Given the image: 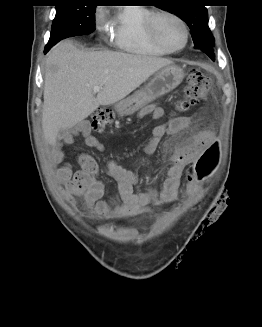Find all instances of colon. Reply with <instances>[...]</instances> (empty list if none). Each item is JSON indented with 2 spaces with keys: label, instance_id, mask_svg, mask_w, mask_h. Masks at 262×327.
<instances>
[{
  "label": "colon",
  "instance_id": "1",
  "mask_svg": "<svg viewBox=\"0 0 262 327\" xmlns=\"http://www.w3.org/2000/svg\"><path fill=\"white\" fill-rule=\"evenodd\" d=\"M210 88L211 82L207 76L200 71H192L187 78L184 96L178 104L179 109L186 111L203 101L207 97ZM113 120L114 113L111 110L99 109L93 113L91 126L95 131L101 132L111 125ZM218 156V146L216 144L210 145L194 164V177L197 180L206 178L217 164Z\"/></svg>",
  "mask_w": 262,
  "mask_h": 327
}]
</instances>
